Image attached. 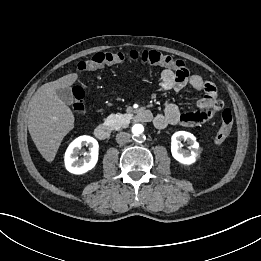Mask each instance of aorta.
Wrapping results in <instances>:
<instances>
[{
  "instance_id": "1",
  "label": "aorta",
  "mask_w": 261,
  "mask_h": 261,
  "mask_svg": "<svg viewBox=\"0 0 261 261\" xmlns=\"http://www.w3.org/2000/svg\"><path fill=\"white\" fill-rule=\"evenodd\" d=\"M131 131L134 138L142 139L144 134V126L142 124H135L133 125Z\"/></svg>"
}]
</instances>
